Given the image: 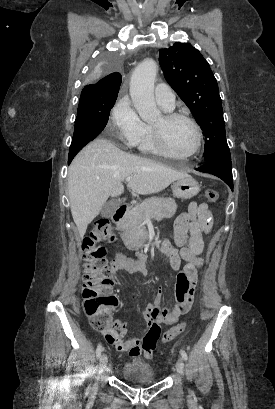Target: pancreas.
<instances>
[{
    "label": "pancreas",
    "instance_id": "pancreas-1",
    "mask_svg": "<svg viewBox=\"0 0 275 409\" xmlns=\"http://www.w3.org/2000/svg\"><path fill=\"white\" fill-rule=\"evenodd\" d=\"M177 209L174 198H158V196H150L145 198L140 205L130 207L124 219L117 223V229L123 231L121 237L124 241L125 247L128 249H139L143 247L145 241L148 239L146 227L142 225L146 221V217L151 219H170L175 215Z\"/></svg>",
    "mask_w": 275,
    "mask_h": 409
}]
</instances>
